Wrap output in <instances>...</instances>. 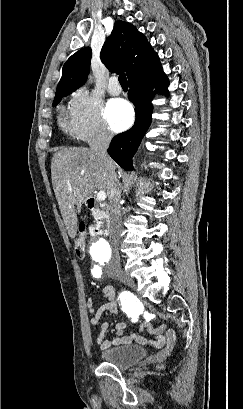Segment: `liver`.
Segmentation results:
<instances>
[{"label":"liver","mask_w":243,"mask_h":409,"mask_svg":"<svg viewBox=\"0 0 243 409\" xmlns=\"http://www.w3.org/2000/svg\"><path fill=\"white\" fill-rule=\"evenodd\" d=\"M116 164L104 160L86 147H70L57 151L51 162V177L54 193L64 225L71 238L77 231V214L82 204L95 190L108 192L109 170Z\"/></svg>","instance_id":"6515ba94"}]
</instances>
